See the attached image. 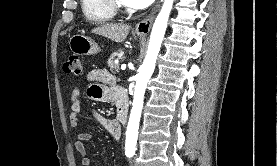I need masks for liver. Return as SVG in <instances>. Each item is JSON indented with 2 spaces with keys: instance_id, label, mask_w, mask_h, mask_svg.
<instances>
[{
  "instance_id": "liver-1",
  "label": "liver",
  "mask_w": 277,
  "mask_h": 166,
  "mask_svg": "<svg viewBox=\"0 0 277 166\" xmlns=\"http://www.w3.org/2000/svg\"><path fill=\"white\" fill-rule=\"evenodd\" d=\"M130 26L126 24L107 23L92 30V33L106 37L114 42H123L129 33Z\"/></svg>"
}]
</instances>
